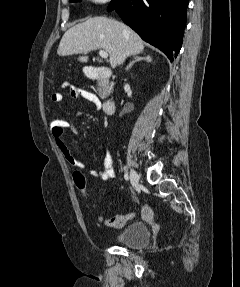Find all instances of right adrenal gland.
<instances>
[{
  "instance_id": "obj_1",
  "label": "right adrenal gland",
  "mask_w": 240,
  "mask_h": 287,
  "mask_svg": "<svg viewBox=\"0 0 240 287\" xmlns=\"http://www.w3.org/2000/svg\"><path fill=\"white\" fill-rule=\"evenodd\" d=\"M144 61V62H151L152 58L149 55H146L144 57H135V59L126 67V70L128 71L134 63Z\"/></svg>"
}]
</instances>
